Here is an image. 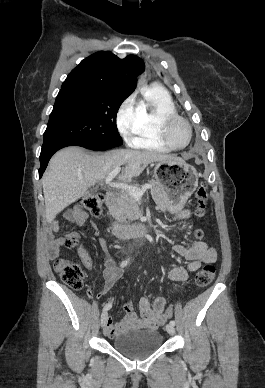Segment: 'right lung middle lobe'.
<instances>
[{
    "instance_id": "obj_1",
    "label": "right lung middle lobe",
    "mask_w": 265,
    "mask_h": 388,
    "mask_svg": "<svg viewBox=\"0 0 265 388\" xmlns=\"http://www.w3.org/2000/svg\"><path fill=\"white\" fill-rule=\"evenodd\" d=\"M127 97L115 92H59L44 132L43 145L72 140L98 151L122 145L116 115Z\"/></svg>"
}]
</instances>
